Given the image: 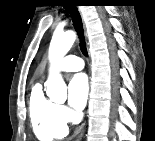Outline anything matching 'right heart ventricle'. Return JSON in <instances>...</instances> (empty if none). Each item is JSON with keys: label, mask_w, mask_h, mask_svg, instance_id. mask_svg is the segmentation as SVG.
I'll list each match as a JSON object with an SVG mask.
<instances>
[{"label": "right heart ventricle", "mask_w": 155, "mask_h": 141, "mask_svg": "<svg viewBox=\"0 0 155 141\" xmlns=\"http://www.w3.org/2000/svg\"><path fill=\"white\" fill-rule=\"evenodd\" d=\"M28 107L32 128L39 140L51 141L66 136L67 123L60 116L59 106L45 96L40 83L32 87Z\"/></svg>", "instance_id": "obj_1"}]
</instances>
